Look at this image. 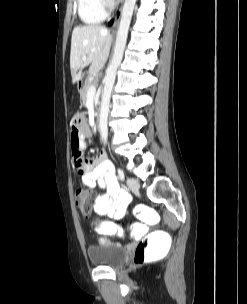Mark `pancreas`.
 I'll return each mask as SVG.
<instances>
[{"mask_svg":"<svg viewBox=\"0 0 247 304\" xmlns=\"http://www.w3.org/2000/svg\"><path fill=\"white\" fill-rule=\"evenodd\" d=\"M93 85V82L90 80H87L85 82V85L83 86V88L80 90V95H81V99H82V104L85 105L86 100H87V92L90 86Z\"/></svg>","mask_w":247,"mask_h":304,"instance_id":"obj_1","label":"pancreas"}]
</instances>
